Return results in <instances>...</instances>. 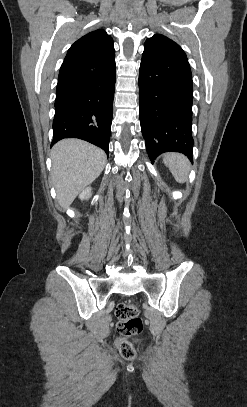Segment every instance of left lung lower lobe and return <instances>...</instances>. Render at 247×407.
I'll use <instances>...</instances> for the list:
<instances>
[{
    "label": "left lung lower lobe",
    "mask_w": 247,
    "mask_h": 407,
    "mask_svg": "<svg viewBox=\"0 0 247 407\" xmlns=\"http://www.w3.org/2000/svg\"><path fill=\"white\" fill-rule=\"evenodd\" d=\"M139 117L148 156L180 152L192 162L193 85L190 67L143 53Z\"/></svg>",
    "instance_id": "0a47b994"
}]
</instances>
